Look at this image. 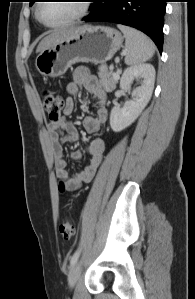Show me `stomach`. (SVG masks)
<instances>
[{
  "instance_id": "0dacf381",
  "label": "stomach",
  "mask_w": 195,
  "mask_h": 299,
  "mask_svg": "<svg viewBox=\"0 0 195 299\" xmlns=\"http://www.w3.org/2000/svg\"><path fill=\"white\" fill-rule=\"evenodd\" d=\"M122 43V34L114 28L83 26L40 52L35 66L43 76L58 77L78 62L105 63L120 49Z\"/></svg>"
}]
</instances>
